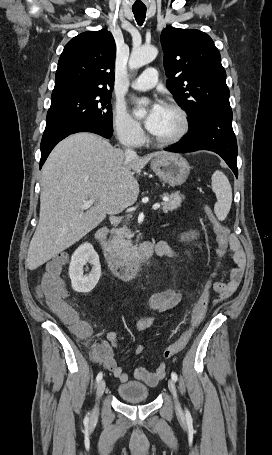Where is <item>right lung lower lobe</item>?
Segmentation results:
<instances>
[{
	"label": "right lung lower lobe",
	"instance_id": "right-lung-lower-lobe-1",
	"mask_svg": "<svg viewBox=\"0 0 272 455\" xmlns=\"http://www.w3.org/2000/svg\"><path fill=\"white\" fill-rule=\"evenodd\" d=\"M77 132H92L109 139L112 136L113 130H109L94 121L63 122L46 126L41 141L40 169L56 144L70 134Z\"/></svg>",
	"mask_w": 272,
	"mask_h": 455
}]
</instances>
